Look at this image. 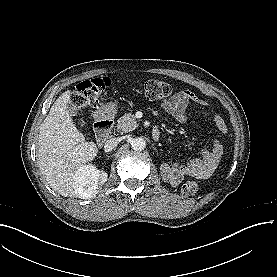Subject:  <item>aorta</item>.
I'll return each mask as SVG.
<instances>
[{
    "label": "aorta",
    "instance_id": "1",
    "mask_svg": "<svg viewBox=\"0 0 277 277\" xmlns=\"http://www.w3.org/2000/svg\"><path fill=\"white\" fill-rule=\"evenodd\" d=\"M131 147L135 151H142L146 148V141L141 137L134 138L131 141Z\"/></svg>",
    "mask_w": 277,
    "mask_h": 277
}]
</instances>
